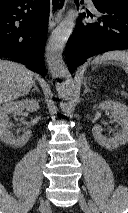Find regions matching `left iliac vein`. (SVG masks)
I'll list each match as a JSON object with an SVG mask.
<instances>
[{
	"instance_id": "obj_1",
	"label": "left iliac vein",
	"mask_w": 128,
	"mask_h": 213,
	"mask_svg": "<svg viewBox=\"0 0 128 213\" xmlns=\"http://www.w3.org/2000/svg\"><path fill=\"white\" fill-rule=\"evenodd\" d=\"M79 204L85 211V213H93L90 203L85 199V197L82 194L79 195Z\"/></svg>"
}]
</instances>
